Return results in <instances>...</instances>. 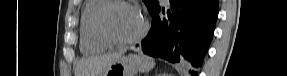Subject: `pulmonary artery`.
I'll use <instances>...</instances> for the list:
<instances>
[{
    "label": "pulmonary artery",
    "instance_id": "e3ab8cb5",
    "mask_svg": "<svg viewBox=\"0 0 287 76\" xmlns=\"http://www.w3.org/2000/svg\"><path fill=\"white\" fill-rule=\"evenodd\" d=\"M163 2H167V0H162Z\"/></svg>",
    "mask_w": 287,
    "mask_h": 76
}]
</instances>
